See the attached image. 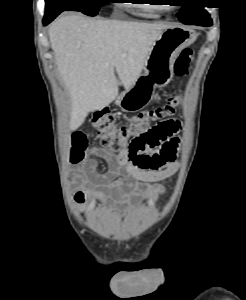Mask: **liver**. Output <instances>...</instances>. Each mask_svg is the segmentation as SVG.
I'll return each mask as SVG.
<instances>
[{"mask_svg":"<svg viewBox=\"0 0 246 300\" xmlns=\"http://www.w3.org/2000/svg\"><path fill=\"white\" fill-rule=\"evenodd\" d=\"M170 25L95 20L78 14L59 17L49 27L58 72L71 96L70 129L89 112L118 96V80L129 89L140 77L150 49Z\"/></svg>","mask_w":246,"mask_h":300,"instance_id":"6515ba94","label":"liver"}]
</instances>
